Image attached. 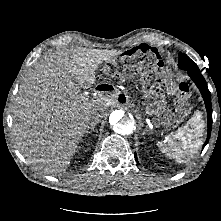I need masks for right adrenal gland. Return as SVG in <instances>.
<instances>
[{
  "label": "right adrenal gland",
  "instance_id": "right-adrenal-gland-1",
  "mask_svg": "<svg viewBox=\"0 0 221 221\" xmlns=\"http://www.w3.org/2000/svg\"><path fill=\"white\" fill-rule=\"evenodd\" d=\"M96 125V124H95ZM95 125H91L90 126V131H89V129L86 131V136L88 135V133H91V132H93V131H95Z\"/></svg>",
  "mask_w": 221,
  "mask_h": 221
}]
</instances>
